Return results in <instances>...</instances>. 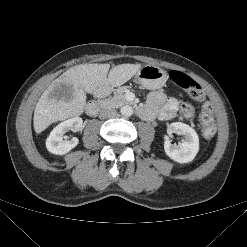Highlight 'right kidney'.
Listing matches in <instances>:
<instances>
[{
    "instance_id": "right-kidney-1",
    "label": "right kidney",
    "mask_w": 247,
    "mask_h": 247,
    "mask_svg": "<svg viewBox=\"0 0 247 247\" xmlns=\"http://www.w3.org/2000/svg\"><path fill=\"white\" fill-rule=\"evenodd\" d=\"M83 120L80 117H73L58 124L50 133L46 140V148L49 152L56 155L68 153L78 144V138L73 137L70 140L66 138L65 133L69 130L79 132L82 130Z\"/></svg>"
}]
</instances>
